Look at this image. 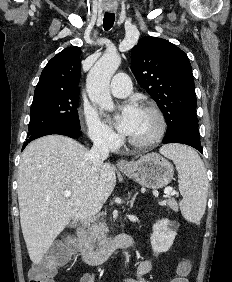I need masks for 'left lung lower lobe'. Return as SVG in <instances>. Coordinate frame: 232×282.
<instances>
[{"label":"left lung lower lobe","instance_id":"1","mask_svg":"<svg viewBox=\"0 0 232 282\" xmlns=\"http://www.w3.org/2000/svg\"><path fill=\"white\" fill-rule=\"evenodd\" d=\"M167 143L186 144L203 153V149L200 144L198 125L195 124H180L177 126H174L172 124L168 125L167 133L163 139V144Z\"/></svg>","mask_w":232,"mask_h":282}]
</instances>
